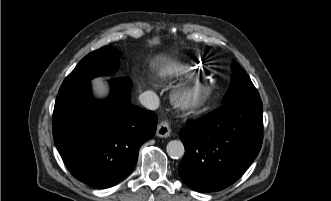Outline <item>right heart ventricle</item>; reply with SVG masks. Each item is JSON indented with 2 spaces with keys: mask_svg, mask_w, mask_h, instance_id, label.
I'll use <instances>...</instances> for the list:
<instances>
[{
  "mask_svg": "<svg viewBox=\"0 0 331 201\" xmlns=\"http://www.w3.org/2000/svg\"><path fill=\"white\" fill-rule=\"evenodd\" d=\"M178 75H183V76H187V77H192L195 79V77H197L198 75V69L197 68H192L191 65H184L182 67L179 68L178 71L176 72H170L166 75V78H174V77H177Z\"/></svg>",
  "mask_w": 331,
  "mask_h": 201,
  "instance_id": "1",
  "label": "right heart ventricle"
}]
</instances>
